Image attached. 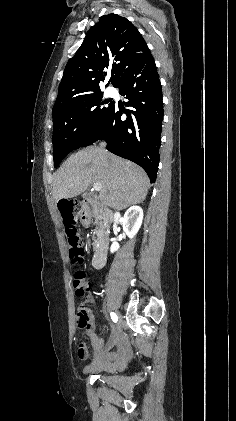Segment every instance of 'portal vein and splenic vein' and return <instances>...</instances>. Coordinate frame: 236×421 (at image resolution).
Segmentation results:
<instances>
[{
  "instance_id": "18ae733b",
  "label": "portal vein and splenic vein",
  "mask_w": 236,
  "mask_h": 421,
  "mask_svg": "<svg viewBox=\"0 0 236 421\" xmlns=\"http://www.w3.org/2000/svg\"><path fill=\"white\" fill-rule=\"evenodd\" d=\"M101 188L100 182H94L92 190H101Z\"/></svg>"
}]
</instances>
